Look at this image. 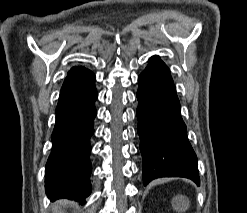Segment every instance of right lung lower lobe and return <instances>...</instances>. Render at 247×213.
Masks as SVG:
<instances>
[{
  "label": "right lung lower lobe",
  "instance_id": "obj_1",
  "mask_svg": "<svg viewBox=\"0 0 247 213\" xmlns=\"http://www.w3.org/2000/svg\"><path fill=\"white\" fill-rule=\"evenodd\" d=\"M95 75L84 67L72 69L62 85L52 133V151L45 169V188L51 200L75 199L91 193L90 137L96 116Z\"/></svg>",
  "mask_w": 247,
  "mask_h": 213
}]
</instances>
